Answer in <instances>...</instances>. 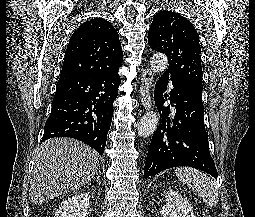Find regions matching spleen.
<instances>
[{
  "label": "spleen",
  "instance_id": "spleen-1",
  "mask_svg": "<svg viewBox=\"0 0 255 217\" xmlns=\"http://www.w3.org/2000/svg\"><path fill=\"white\" fill-rule=\"evenodd\" d=\"M175 173L178 179L190 187L207 206L217 204L218 188L205 173L189 167L176 168Z\"/></svg>",
  "mask_w": 255,
  "mask_h": 217
}]
</instances>
